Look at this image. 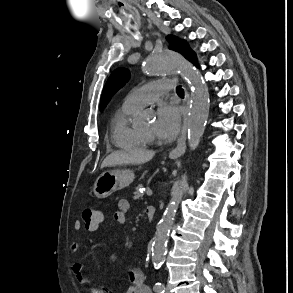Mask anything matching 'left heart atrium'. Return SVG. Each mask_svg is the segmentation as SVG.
Returning a JSON list of instances; mask_svg holds the SVG:
<instances>
[{
  "label": "left heart atrium",
  "mask_w": 293,
  "mask_h": 293,
  "mask_svg": "<svg viewBox=\"0 0 293 293\" xmlns=\"http://www.w3.org/2000/svg\"><path fill=\"white\" fill-rule=\"evenodd\" d=\"M182 110L175 104H163L158 108L154 132L161 138H173L179 131Z\"/></svg>",
  "instance_id": "left-heart-atrium-1"
}]
</instances>
